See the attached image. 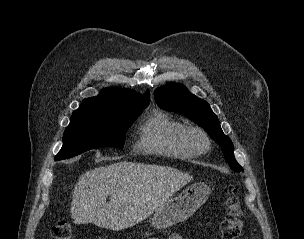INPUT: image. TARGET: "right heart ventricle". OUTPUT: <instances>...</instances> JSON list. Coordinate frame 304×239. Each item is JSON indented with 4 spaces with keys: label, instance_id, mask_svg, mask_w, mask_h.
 <instances>
[{
    "label": "right heart ventricle",
    "instance_id": "right-heart-ventricle-1",
    "mask_svg": "<svg viewBox=\"0 0 304 239\" xmlns=\"http://www.w3.org/2000/svg\"><path fill=\"white\" fill-rule=\"evenodd\" d=\"M184 124L162 111H154L138 126V146L141 150L165 157L189 159V153L179 142Z\"/></svg>",
    "mask_w": 304,
    "mask_h": 239
}]
</instances>
